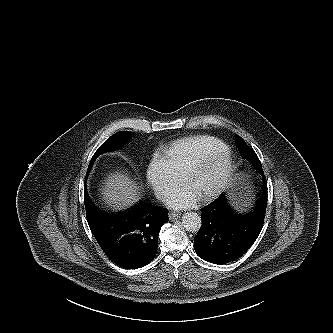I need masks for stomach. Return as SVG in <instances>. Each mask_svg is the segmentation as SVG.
<instances>
[{
  "label": "stomach",
  "mask_w": 333,
  "mask_h": 333,
  "mask_svg": "<svg viewBox=\"0 0 333 333\" xmlns=\"http://www.w3.org/2000/svg\"><path fill=\"white\" fill-rule=\"evenodd\" d=\"M238 179L240 180L241 177H238ZM251 196L252 193L250 187L247 184L242 186L238 185L232 192V202L236 208L243 209L249 205Z\"/></svg>",
  "instance_id": "stomach-1"
}]
</instances>
